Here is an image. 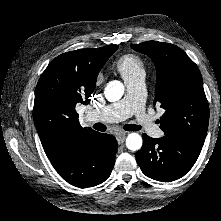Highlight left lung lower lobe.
I'll list each match as a JSON object with an SVG mask.
<instances>
[{
	"label": "left lung lower lobe",
	"mask_w": 221,
	"mask_h": 221,
	"mask_svg": "<svg viewBox=\"0 0 221 221\" xmlns=\"http://www.w3.org/2000/svg\"><path fill=\"white\" fill-rule=\"evenodd\" d=\"M201 149L170 135L155 139L143 134L142 148L135 157L147 177L170 182L183 177L192 168Z\"/></svg>",
	"instance_id": "obj_1"
}]
</instances>
